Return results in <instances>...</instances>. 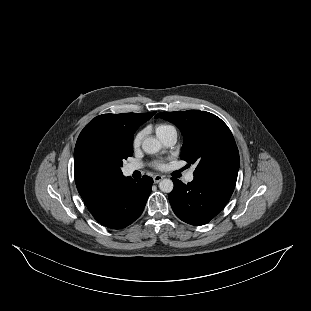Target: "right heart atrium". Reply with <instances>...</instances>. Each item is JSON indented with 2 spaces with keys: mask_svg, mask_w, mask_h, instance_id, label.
<instances>
[{
  "mask_svg": "<svg viewBox=\"0 0 311 311\" xmlns=\"http://www.w3.org/2000/svg\"><path fill=\"white\" fill-rule=\"evenodd\" d=\"M143 134H144V131H139V132H137L133 136V139H132V142H131V145H132L133 149H135V148H137L139 146Z\"/></svg>",
  "mask_w": 311,
  "mask_h": 311,
  "instance_id": "d8ad5b80",
  "label": "right heart atrium"
}]
</instances>
